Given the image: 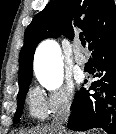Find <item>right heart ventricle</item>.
Masks as SVG:
<instances>
[{
  "instance_id": "e07e8e85",
  "label": "right heart ventricle",
  "mask_w": 116,
  "mask_h": 134,
  "mask_svg": "<svg viewBox=\"0 0 116 134\" xmlns=\"http://www.w3.org/2000/svg\"><path fill=\"white\" fill-rule=\"evenodd\" d=\"M28 107L31 116L34 118L42 119L46 116L41 99L35 94L34 91L30 93Z\"/></svg>"
}]
</instances>
